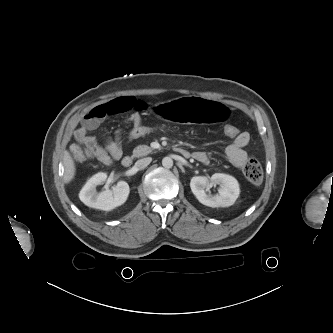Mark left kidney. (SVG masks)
I'll list each match as a JSON object with an SVG mask.
<instances>
[{
	"label": "left kidney",
	"instance_id": "left-kidney-1",
	"mask_svg": "<svg viewBox=\"0 0 333 333\" xmlns=\"http://www.w3.org/2000/svg\"><path fill=\"white\" fill-rule=\"evenodd\" d=\"M216 184L220 186L218 194L208 195L205 190ZM190 187L200 203L212 208L229 207L235 203L240 194L238 181L233 176L222 173H215L211 177H193Z\"/></svg>",
	"mask_w": 333,
	"mask_h": 333
}]
</instances>
